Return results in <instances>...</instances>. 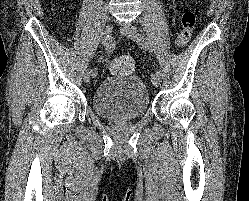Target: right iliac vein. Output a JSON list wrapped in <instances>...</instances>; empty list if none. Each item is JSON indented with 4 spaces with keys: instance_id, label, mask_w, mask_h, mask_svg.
<instances>
[{
    "instance_id": "1",
    "label": "right iliac vein",
    "mask_w": 249,
    "mask_h": 201,
    "mask_svg": "<svg viewBox=\"0 0 249 201\" xmlns=\"http://www.w3.org/2000/svg\"><path fill=\"white\" fill-rule=\"evenodd\" d=\"M112 29H113L112 24L110 22H107L103 28L102 36L104 37L110 34L112 32ZM90 78H91V72L90 70H87L83 76L84 83H88L90 81Z\"/></svg>"
}]
</instances>
